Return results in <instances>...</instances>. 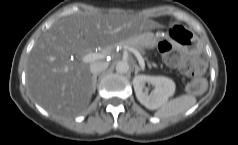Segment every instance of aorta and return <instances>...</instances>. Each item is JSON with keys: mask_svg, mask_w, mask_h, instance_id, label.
<instances>
[{"mask_svg": "<svg viewBox=\"0 0 238 145\" xmlns=\"http://www.w3.org/2000/svg\"><path fill=\"white\" fill-rule=\"evenodd\" d=\"M129 70V65L126 61H119L117 64H116V71L118 73H127Z\"/></svg>", "mask_w": 238, "mask_h": 145, "instance_id": "1", "label": "aorta"}]
</instances>
